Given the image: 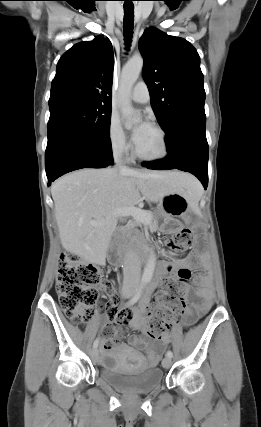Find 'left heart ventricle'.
<instances>
[{
  "instance_id": "left-heart-ventricle-1",
  "label": "left heart ventricle",
  "mask_w": 261,
  "mask_h": 427,
  "mask_svg": "<svg viewBox=\"0 0 261 427\" xmlns=\"http://www.w3.org/2000/svg\"><path fill=\"white\" fill-rule=\"evenodd\" d=\"M136 149L144 156L159 155L162 151V143L158 132L151 127L136 145Z\"/></svg>"
}]
</instances>
